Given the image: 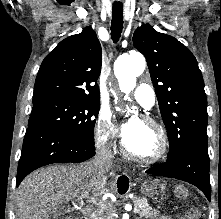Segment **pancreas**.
<instances>
[{
	"label": "pancreas",
	"instance_id": "obj_1",
	"mask_svg": "<svg viewBox=\"0 0 221 219\" xmlns=\"http://www.w3.org/2000/svg\"><path fill=\"white\" fill-rule=\"evenodd\" d=\"M134 208L138 209L137 214L142 218L145 219L151 218L156 219L160 212L157 210L152 209L147 202L143 198H135L133 200ZM91 219H110L108 218L103 211H99L97 214L93 215Z\"/></svg>",
	"mask_w": 221,
	"mask_h": 219
}]
</instances>
